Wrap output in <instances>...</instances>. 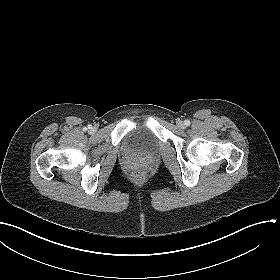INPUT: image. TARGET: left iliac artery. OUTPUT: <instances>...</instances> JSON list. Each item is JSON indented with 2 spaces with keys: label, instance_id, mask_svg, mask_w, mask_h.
Instances as JSON below:
<instances>
[{
  "label": "left iliac artery",
  "instance_id": "1",
  "mask_svg": "<svg viewBox=\"0 0 280 280\" xmlns=\"http://www.w3.org/2000/svg\"><path fill=\"white\" fill-rule=\"evenodd\" d=\"M184 124H185L186 126H189V125H190V121H189V120H185V121H184Z\"/></svg>",
  "mask_w": 280,
  "mask_h": 280
}]
</instances>
